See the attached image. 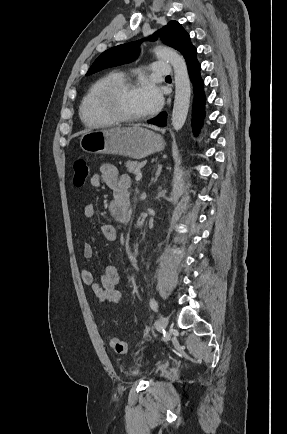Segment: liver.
Here are the masks:
<instances>
[{
	"mask_svg": "<svg viewBox=\"0 0 287 434\" xmlns=\"http://www.w3.org/2000/svg\"><path fill=\"white\" fill-rule=\"evenodd\" d=\"M137 127H139V126H133V128H137Z\"/></svg>",
	"mask_w": 287,
	"mask_h": 434,
	"instance_id": "liver-1",
	"label": "liver"
}]
</instances>
